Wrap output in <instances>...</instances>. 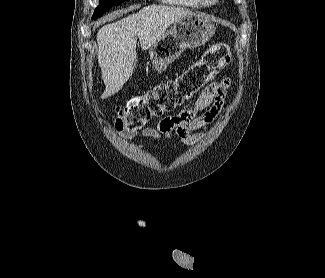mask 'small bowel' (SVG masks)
<instances>
[{
    "mask_svg": "<svg viewBox=\"0 0 325 278\" xmlns=\"http://www.w3.org/2000/svg\"><path fill=\"white\" fill-rule=\"evenodd\" d=\"M230 84V79L213 82L202 90L191 108L164 118L156 128L126 130L121 133V136L133 138L140 135L166 140L177 137L184 145L196 144L204 138L205 134L195 133V131L212 123L221 113ZM139 148L143 149L145 146Z\"/></svg>",
    "mask_w": 325,
    "mask_h": 278,
    "instance_id": "c3829d8e",
    "label": "small bowel"
}]
</instances>
